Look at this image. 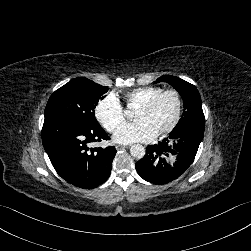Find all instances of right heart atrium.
Segmentation results:
<instances>
[{"instance_id":"d8ad5b80","label":"right heart atrium","mask_w":251,"mask_h":251,"mask_svg":"<svg viewBox=\"0 0 251 251\" xmlns=\"http://www.w3.org/2000/svg\"><path fill=\"white\" fill-rule=\"evenodd\" d=\"M97 120L108 131L113 132L124 120V110L117 94L104 95L95 105Z\"/></svg>"}]
</instances>
